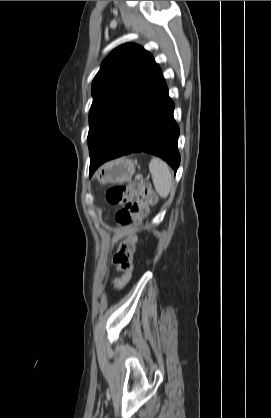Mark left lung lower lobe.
Masks as SVG:
<instances>
[{"label": "left lung lower lobe", "mask_w": 271, "mask_h": 418, "mask_svg": "<svg viewBox=\"0 0 271 418\" xmlns=\"http://www.w3.org/2000/svg\"><path fill=\"white\" fill-rule=\"evenodd\" d=\"M173 110L174 103L161 74L91 159L90 176L104 162L137 152L159 156L177 170L179 127Z\"/></svg>", "instance_id": "left-lung-lower-lobe-1"}]
</instances>
